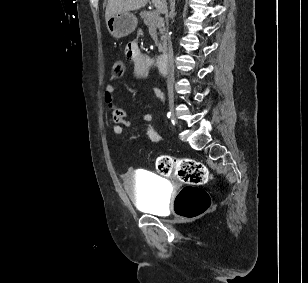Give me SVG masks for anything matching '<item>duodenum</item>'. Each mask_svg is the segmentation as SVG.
Returning a JSON list of instances; mask_svg holds the SVG:
<instances>
[{
  "label": "duodenum",
  "mask_w": 308,
  "mask_h": 283,
  "mask_svg": "<svg viewBox=\"0 0 308 283\" xmlns=\"http://www.w3.org/2000/svg\"><path fill=\"white\" fill-rule=\"evenodd\" d=\"M156 64L161 73L163 74L167 73L168 53L166 51H164L162 54L158 56Z\"/></svg>",
  "instance_id": "duodenum-1"
}]
</instances>
